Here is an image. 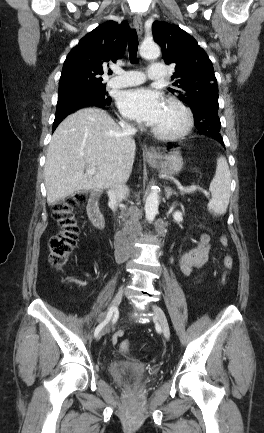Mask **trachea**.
Segmentation results:
<instances>
[{
    "mask_svg": "<svg viewBox=\"0 0 264 433\" xmlns=\"http://www.w3.org/2000/svg\"><path fill=\"white\" fill-rule=\"evenodd\" d=\"M128 50L129 57L133 62H136V55L138 50V36L135 29H132L128 37Z\"/></svg>",
    "mask_w": 264,
    "mask_h": 433,
    "instance_id": "obj_1",
    "label": "trachea"
}]
</instances>
